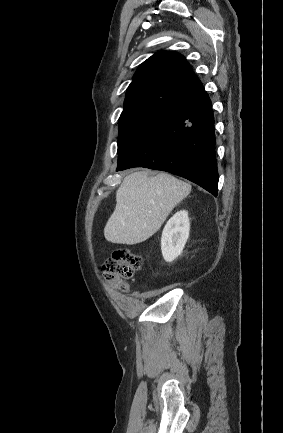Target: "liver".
Returning a JSON list of instances; mask_svg holds the SVG:
<instances>
[{"instance_id": "liver-1", "label": "liver", "mask_w": 283, "mask_h": 433, "mask_svg": "<svg viewBox=\"0 0 283 433\" xmlns=\"http://www.w3.org/2000/svg\"><path fill=\"white\" fill-rule=\"evenodd\" d=\"M190 190L191 184L167 172L156 176H148L146 170L127 174L116 190V206L106 223L105 239L119 245L147 241Z\"/></svg>"}]
</instances>
